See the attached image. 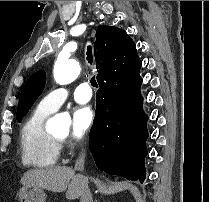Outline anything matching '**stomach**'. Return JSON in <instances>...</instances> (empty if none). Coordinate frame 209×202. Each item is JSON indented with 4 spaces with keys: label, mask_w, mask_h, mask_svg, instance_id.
Instances as JSON below:
<instances>
[{
    "label": "stomach",
    "mask_w": 209,
    "mask_h": 202,
    "mask_svg": "<svg viewBox=\"0 0 209 202\" xmlns=\"http://www.w3.org/2000/svg\"><path fill=\"white\" fill-rule=\"evenodd\" d=\"M20 202H45L46 195L42 188L23 186L18 192Z\"/></svg>",
    "instance_id": "obj_1"
}]
</instances>
